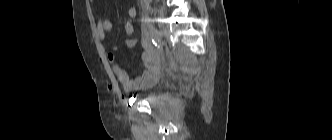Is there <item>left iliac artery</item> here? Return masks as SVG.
<instances>
[{"label": "left iliac artery", "mask_w": 332, "mask_h": 140, "mask_svg": "<svg viewBox=\"0 0 332 140\" xmlns=\"http://www.w3.org/2000/svg\"><path fill=\"white\" fill-rule=\"evenodd\" d=\"M144 21H145V23H146V27H147V29H148L150 35L153 36L154 33H155V28H154V24H153V19H152L151 17H149V16H146Z\"/></svg>", "instance_id": "obj_1"}]
</instances>
